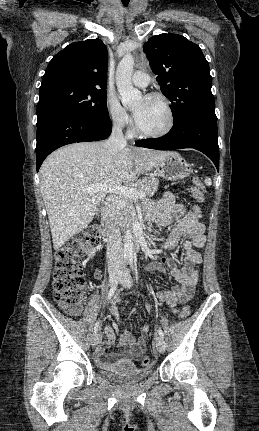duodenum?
<instances>
[{"label":"duodenum","mask_w":259,"mask_h":431,"mask_svg":"<svg viewBox=\"0 0 259 431\" xmlns=\"http://www.w3.org/2000/svg\"><path fill=\"white\" fill-rule=\"evenodd\" d=\"M100 226L106 236V240H110L114 233V225L110 206H105L101 214ZM136 244L135 249H140L141 234L138 229L135 230Z\"/></svg>","instance_id":"duodenum-1"}]
</instances>
